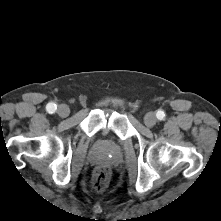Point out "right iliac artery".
<instances>
[{"label": "right iliac artery", "instance_id": "82829eb1", "mask_svg": "<svg viewBox=\"0 0 221 221\" xmlns=\"http://www.w3.org/2000/svg\"><path fill=\"white\" fill-rule=\"evenodd\" d=\"M56 109H57V106L54 103H48L47 106H46V110L50 114L55 113Z\"/></svg>", "mask_w": 221, "mask_h": 221}]
</instances>
